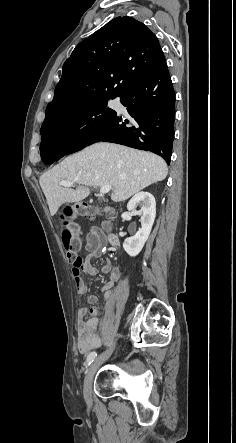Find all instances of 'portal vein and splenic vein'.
I'll list each match as a JSON object with an SVG mask.
<instances>
[{
    "label": "portal vein and splenic vein",
    "mask_w": 236,
    "mask_h": 443,
    "mask_svg": "<svg viewBox=\"0 0 236 443\" xmlns=\"http://www.w3.org/2000/svg\"><path fill=\"white\" fill-rule=\"evenodd\" d=\"M73 184H74L73 182L64 181V180L60 182V185L63 186V187H66V188L72 187ZM110 190H111V185H105V186L101 187L100 194H106Z\"/></svg>",
    "instance_id": "1"
}]
</instances>
